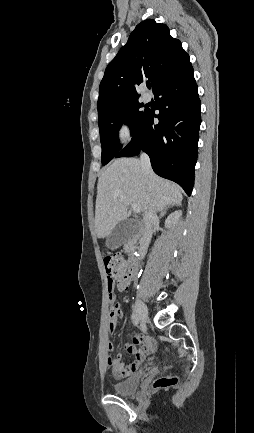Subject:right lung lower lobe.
I'll return each instance as SVG.
<instances>
[{"label": "right lung lower lobe", "instance_id": "obj_1", "mask_svg": "<svg viewBox=\"0 0 254 433\" xmlns=\"http://www.w3.org/2000/svg\"><path fill=\"white\" fill-rule=\"evenodd\" d=\"M154 95L159 114L148 110L133 132L131 142L115 157L146 152L154 172L178 183L190 196L198 156L201 103L189 57ZM154 117L159 119L158 124H154Z\"/></svg>", "mask_w": 254, "mask_h": 433}]
</instances>
